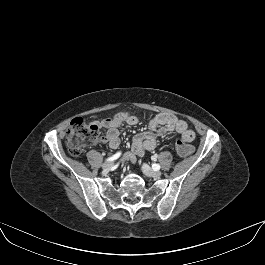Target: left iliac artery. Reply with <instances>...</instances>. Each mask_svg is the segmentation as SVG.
Wrapping results in <instances>:
<instances>
[{
    "label": "left iliac artery",
    "mask_w": 265,
    "mask_h": 265,
    "mask_svg": "<svg viewBox=\"0 0 265 265\" xmlns=\"http://www.w3.org/2000/svg\"><path fill=\"white\" fill-rule=\"evenodd\" d=\"M152 168L157 171L160 169V165L159 164H153Z\"/></svg>",
    "instance_id": "left-iliac-artery-1"
}]
</instances>
